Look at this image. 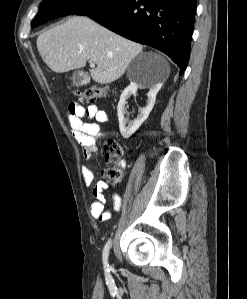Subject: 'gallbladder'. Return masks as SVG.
Instances as JSON below:
<instances>
[{
    "label": "gallbladder",
    "mask_w": 247,
    "mask_h": 299,
    "mask_svg": "<svg viewBox=\"0 0 247 299\" xmlns=\"http://www.w3.org/2000/svg\"><path fill=\"white\" fill-rule=\"evenodd\" d=\"M70 80L72 81V86L79 87L88 83L90 78L85 72L76 70L73 72Z\"/></svg>",
    "instance_id": "obj_1"
}]
</instances>
